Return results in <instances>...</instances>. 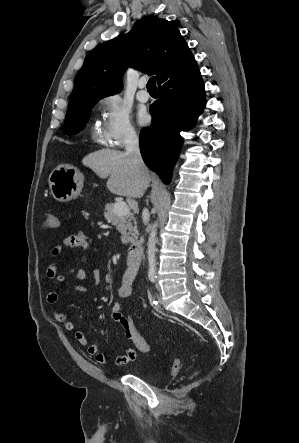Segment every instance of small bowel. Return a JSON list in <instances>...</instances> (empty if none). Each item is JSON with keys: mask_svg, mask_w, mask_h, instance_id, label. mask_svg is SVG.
<instances>
[{"mask_svg": "<svg viewBox=\"0 0 299 443\" xmlns=\"http://www.w3.org/2000/svg\"><path fill=\"white\" fill-rule=\"evenodd\" d=\"M91 246L92 239L84 232L80 231L64 238L60 244L54 246L51 250V256L53 258L60 256L63 248L65 247L88 250L89 248H91ZM84 261L87 264V269H74L71 272V276L74 279L91 282L94 285H97L100 282V272L98 268H96L92 263L87 262L86 259H84ZM139 266H132L130 264H127V268L122 276L121 284L119 287L120 297L126 298L131 294L133 283L138 275ZM46 275L53 281V288H51L46 295V301L52 307L53 316L67 330L73 331L75 329L74 321L65 312L57 308L58 293L55 288L61 286L65 282V276L59 273L58 264L56 262H53L48 266ZM75 291L87 293L88 289L84 286H77L75 287ZM123 315L124 311L122 305L119 303L115 304L110 313L111 319L121 326L127 339V335L122 324ZM74 337L81 346L87 348L89 355L92 356L97 362L101 364H105L108 362V358L100 350V348L95 344L89 343L83 331H75ZM136 357L137 349L134 345L130 343V346L127 348V350L122 355H119L114 359V364L116 366L125 365L135 361Z\"/></svg>", "mask_w": 299, "mask_h": 443, "instance_id": "1", "label": "small bowel"}]
</instances>
